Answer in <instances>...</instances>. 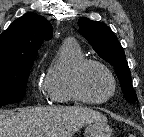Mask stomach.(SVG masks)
<instances>
[{"label":"stomach","mask_w":144,"mask_h":137,"mask_svg":"<svg viewBox=\"0 0 144 137\" xmlns=\"http://www.w3.org/2000/svg\"><path fill=\"white\" fill-rule=\"evenodd\" d=\"M112 129L107 121H96L87 125L85 137H111Z\"/></svg>","instance_id":"stomach-1"}]
</instances>
